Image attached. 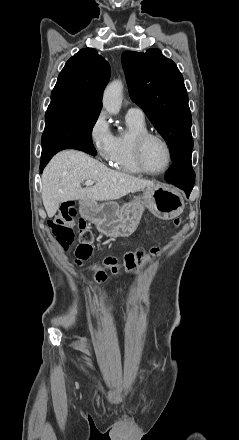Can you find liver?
Wrapping results in <instances>:
<instances>
[{"label": "liver", "instance_id": "1", "mask_svg": "<svg viewBox=\"0 0 239 440\" xmlns=\"http://www.w3.org/2000/svg\"><path fill=\"white\" fill-rule=\"evenodd\" d=\"M85 180H93L96 184L81 188L80 184ZM143 188L154 190L159 188V184L110 170L98 160L76 150L56 154L42 174V202L48 218L55 216L61 202L84 198L108 202Z\"/></svg>", "mask_w": 239, "mask_h": 440}]
</instances>
